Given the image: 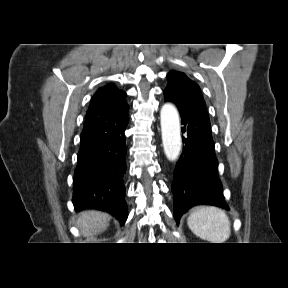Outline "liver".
I'll list each match as a JSON object with an SVG mask.
<instances>
[{"instance_id": "6515ba94", "label": "liver", "mask_w": 288, "mask_h": 288, "mask_svg": "<svg viewBox=\"0 0 288 288\" xmlns=\"http://www.w3.org/2000/svg\"><path fill=\"white\" fill-rule=\"evenodd\" d=\"M109 215L97 210H86L79 214L77 226L84 237L104 231L109 225Z\"/></svg>"}]
</instances>
